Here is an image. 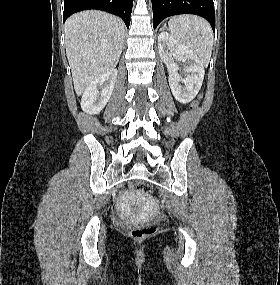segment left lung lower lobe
<instances>
[{"label": "left lung lower lobe", "instance_id": "0a47b994", "mask_svg": "<svg viewBox=\"0 0 280 285\" xmlns=\"http://www.w3.org/2000/svg\"><path fill=\"white\" fill-rule=\"evenodd\" d=\"M153 27L168 16L196 14L204 17L215 31V11L213 0H152Z\"/></svg>", "mask_w": 280, "mask_h": 285}]
</instances>
